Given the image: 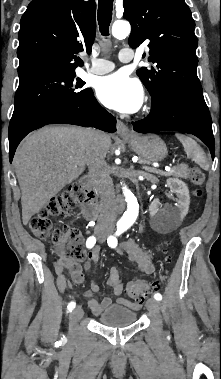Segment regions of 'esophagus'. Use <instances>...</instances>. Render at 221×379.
<instances>
[{
    "label": "esophagus",
    "instance_id": "34e87169",
    "mask_svg": "<svg viewBox=\"0 0 221 379\" xmlns=\"http://www.w3.org/2000/svg\"><path fill=\"white\" fill-rule=\"evenodd\" d=\"M116 127H117L118 135H120L122 137L130 135V131H129L128 126L125 123H123L122 121L118 120Z\"/></svg>",
    "mask_w": 221,
    "mask_h": 379
}]
</instances>
